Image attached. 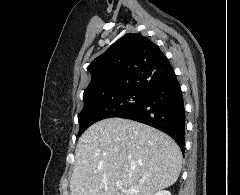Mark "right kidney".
I'll return each mask as SVG.
<instances>
[{"mask_svg": "<svg viewBox=\"0 0 240 195\" xmlns=\"http://www.w3.org/2000/svg\"><path fill=\"white\" fill-rule=\"evenodd\" d=\"M154 195H172L170 191H167V189H160V191H156Z\"/></svg>", "mask_w": 240, "mask_h": 195, "instance_id": "1", "label": "right kidney"}]
</instances>
